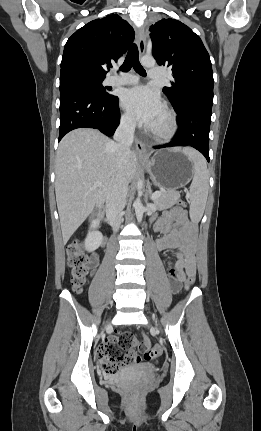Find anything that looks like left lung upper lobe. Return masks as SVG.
Wrapping results in <instances>:
<instances>
[{"label": "left lung upper lobe", "instance_id": "obj_1", "mask_svg": "<svg viewBox=\"0 0 261 431\" xmlns=\"http://www.w3.org/2000/svg\"><path fill=\"white\" fill-rule=\"evenodd\" d=\"M152 54L158 65L172 69L175 82L163 92L176 111L187 104L213 103V71L200 37L175 19H162L150 27Z\"/></svg>", "mask_w": 261, "mask_h": 431}]
</instances>
